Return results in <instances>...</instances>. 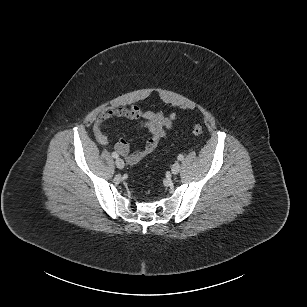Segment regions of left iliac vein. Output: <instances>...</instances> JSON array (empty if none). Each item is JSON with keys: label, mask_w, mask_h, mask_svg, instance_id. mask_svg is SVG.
Here are the masks:
<instances>
[{"label": "left iliac vein", "mask_w": 307, "mask_h": 307, "mask_svg": "<svg viewBox=\"0 0 307 307\" xmlns=\"http://www.w3.org/2000/svg\"><path fill=\"white\" fill-rule=\"evenodd\" d=\"M171 171H172V174H174V175L178 174L179 171H180V164L178 162H175L172 165Z\"/></svg>", "instance_id": "4c4485c4"}]
</instances>
